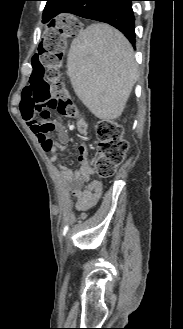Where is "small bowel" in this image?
Listing matches in <instances>:
<instances>
[{"instance_id":"c3829d8e","label":"small bowel","mask_w":183,"mask_h":329,"mask_svg":"<svg viewBox=\"0 0 183 329\" xmlns=\"http://www.w3.org/2000/svg\"><path fill=\"white\" fill-rule=\"evenodd\" d=\"M21 110V108H20ZM23 120L28 125L37 141L45 152L50 153V160L56 161L60 153L65 149L67 132L62 129L59 133L58 141L52 140V146L46 150L43 147V136L39 132V124L41 123L35 116L30 114H21ZM48 137V135H47ZM84 147H81V155L78 162L79 167L76 170L70 168H63L61 171L62 177L74 183V193L77 197L76 209L79 211H87L93 208L102 193V184L98 180H91L93 169L89 165L88 158L83 154Z\"/></svg>"}]
</instances>
